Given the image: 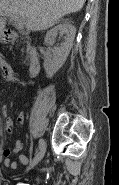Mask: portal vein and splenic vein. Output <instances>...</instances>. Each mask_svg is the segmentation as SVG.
Instances as JSON below:
<instances>
[{
	"label": "portal vein and splenic vein",
	"mask_w": 119,
	"mask_h": 185,
	"mask_svg": "<svg viewBox=\"0 0 119 185\" xmlns=\"http://www.w3.org/2000/svg\"><path fill=\"white\" fill-rule=\"evenodd\" d=\"M0 15H4V14H0ZM5 15L9 16L11 18V20L14 21V24L16 25V27L18 29H22L24 27V25H25L24 22L21 19H19V17L17 15H15L13 13H7Z\"/></svg>",
	"instance_id": "obj_1"
}]
</instances>
